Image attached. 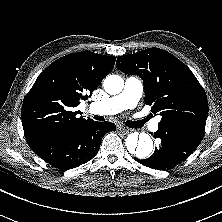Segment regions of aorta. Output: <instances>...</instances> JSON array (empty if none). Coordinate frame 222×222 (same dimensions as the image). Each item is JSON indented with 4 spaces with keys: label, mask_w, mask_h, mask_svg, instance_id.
<instances>
[{
    "label": "aorta",
    "mask_w": 222,
    "mask_h": 222,
    "mask_svg": "<svg viewBox=\"0 0 222 222\" xmlns=\"http://www.w3.org/2000/svg\"><path fill=\"white\" fill-rule=\"evenodd\" d=\"M103 86L108 94L116 95L123 90L124 81L118 75H109L105 78ZM125 144L128 152L139 159L147 158L153 150V140L146 133H131Z\"/></svg>",
    "instance_id": "1"
}]
</instances>
